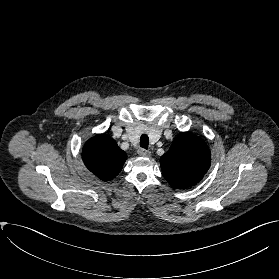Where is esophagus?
Listing matches in <instances>:
<instances>
[{
    "mask_svg": "<svg viewBox=\"0 0 279 279\" xmlns=\"http://www.w3.org/2000/svg\"><path fill=\"white\" fill-rule=\"evenodd\" d=\"M138 154L142 157H149L151 155V152L148 151V150H145V149H139L138 151Z\"/></svg>",
    "mask_w": 279,
    "mask_h": 279,
    "instance_id": "1",
    "label": "esophagus"
}]
</instances>
